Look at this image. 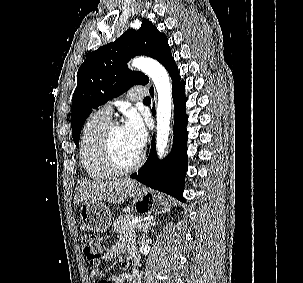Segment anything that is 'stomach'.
<instances>
[{"label":"stomach","mask_w":303,"mask_h":283,"mask_svg":"<svg viewBox=\"0 0 303 283\" xmlns=\"http://www.w3.org/2000/svg\"><path fill=\"white\" fill-rule=\"evenodd\" d=\"M132 196L135 209L147 214L165 212L170 208L167 198L148 189H134ZM80 220L83 227L92 232H104L110 225L112 214L100 201H85L80 208Z\"/></svg>","instance_id":"1"}]
</instances>
